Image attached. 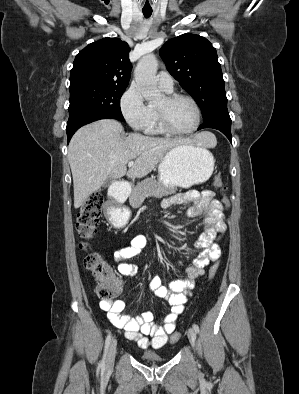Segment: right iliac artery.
<instances>
[{"label": "right iliac artery", "instance_id": "82829eb1", "mask_svg": "<svg viewBox=\"0 0 299 394\" xmlns=\"http://www.w3.org/2000/svg\"><path fill=\"white\" fill-rule=\"evenodd\" d=\"M110 342H111V335L109 334V335L107 336V338H106V341H105V349H104L103 358H102V360H101V362H100V364H99V367H100L102 370L105 368V359H106V355H107V351H108Z\"/></svg>", "mask_w": 299, "mask_h": 394}]
</instances>
